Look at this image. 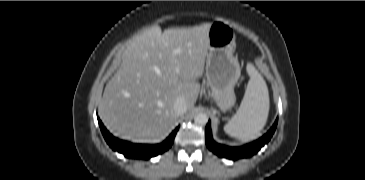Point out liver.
I'll return each instance as SVG.
<instances>
[{"mask_svg":"<svg viewBox=\"0 0 365 180\" xmlns=\"http://www.w3.org/2000/svg\"><path fill=\"white\" fill-rule=\"evenodd\" d=\"M210 23L190 28L154 27L136 36L120 68L107 83L101 116L115 135L133 142H157L174 127V102L191 110L198 98L208 54ZM180 52L173 55L175 49Z\"/></svg>","mask_w":365,"mask_h":180,"instance_id":"obj_1","label":"liver"}]
</instances>
